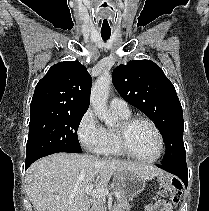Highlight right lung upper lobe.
<instances>
[{
	"instance_id": "cb5924a9",
	"label": "right lung upper lobe",
	"mask_w": 209,
	"mask_h": 211,
	"mask_svg": "<svg viewBox=\"0 0 209 211\" xmlns=\"http://www.w3.org/2000/svg\"><path fill=\"white\" fill-rule=\"evenodd\" d=\"M91 85V76L78 61L57 63L36 85L30 115L85 113Z\"/></svg>"
}]
</instances>
